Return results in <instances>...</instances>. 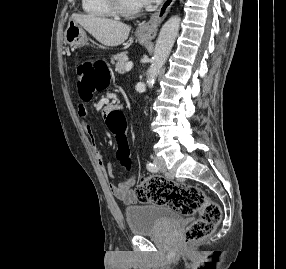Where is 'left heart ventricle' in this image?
<instances>
[{
  "label": "left heart ventricle",
  "instance_id": "b2bd125f",
  "mask_svg": "<svg viewBox=\"0 0 286 269\" xmlns=\"http://www.w3.org/2000/svg\"><path fill=\"white\" fill-rule=\"evenodd\" d=\"M122 5L127 9H133L141 6L138 0H121Z\"/></svg>",
  "mask_w": 286,
  "mask_h": 269
}]
</instances>
